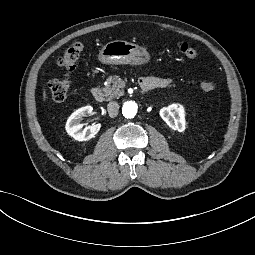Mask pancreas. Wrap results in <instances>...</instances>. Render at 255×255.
<instances>
[{
	"label": "pancreas",
	"mask_w": 255,
	"mask_h": 255,
	"mask_svg": "<svg viewBox=\"0 0 255 255\" xmlns=\"http://www.w3.org/2000/svg\"><path fill=\"white\" fill-rule=\"evenodd\" d=\"M121 78L119 75H113L106 80L103 88L104 96L107 100L119 98L124 95V87L119 85Z\"/></svg>",
	"instance_id": "1"
}]
</instances>
